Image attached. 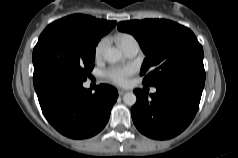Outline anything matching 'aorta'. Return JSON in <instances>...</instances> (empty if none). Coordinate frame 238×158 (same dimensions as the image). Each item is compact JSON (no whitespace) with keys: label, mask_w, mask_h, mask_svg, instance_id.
<instances>
[{"label":"aorta","mask_w":238,"mask_h":158,"mask_svg":"<svg viewBox=\"0 0 238 158\" xmlns=\"http://www.w3.org/2000/svg\"><path fill=\"white\" fill-rule=\"evenodd\" d=\"M122 58V52L114 47H108L104 51V59L109 63H116ZM123 101L128 106H133L136 101V95L133 92H128L123 96Z\"/></svg>","instance_id":"obj_1"}]
</instances>
